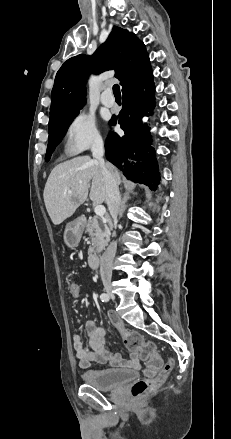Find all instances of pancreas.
<instances>
[{
	"instance_id": "obj_1",
	"label": "pancreas",
	"mask_w": 231,
	"mask_h": 439,
	"mask_svg": "<svg viewBox=\"0 0 231 439\" xmlns=\"http://www.w3.org/2000/svg\"><path fill=\"white\" fill-rule=\"evenodd\" d=\"M85 232L89 234L92 242L88 250L89 255L102 251L109 241L110 232L108 225L99 220L97 216L88 219Z\"/></svg>"
}]
</instances>
